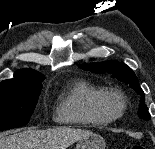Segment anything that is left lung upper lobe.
Here are the masks:
<instances>
[{"label":"left lung upper lobe","instance_id":"5c2ea615","mask_svg":"<svg viewBox=\"0 0 155 149\" xmlns=\"http://www.w3.org/2000/svg\"><path fill=\"white\" fill-rule=\"evenodd\" d=\"M79 67L93 73L110 74L113 78L129 84V86L140 95V105L138 111L139 117L144 120H150V114L145 104L144 92L139 85L138 79L133 70L123 62L119 63L118 61H107L103 63L83 64Z\"/></svg>","mask_w":155,"mask_h":149}]
</instances>
